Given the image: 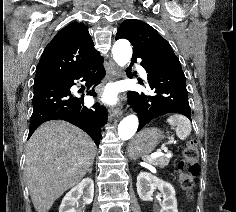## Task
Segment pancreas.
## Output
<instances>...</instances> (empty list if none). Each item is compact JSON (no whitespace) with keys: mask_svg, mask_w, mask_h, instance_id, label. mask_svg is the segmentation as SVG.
<instances>
[{"mask_svg":"<svg viewBox=\"0 0 236 212\" xmlns=\"http://www.w3.org/2000/svg\"><path fill=\"white\" fill-rule=\"evenodd\" d=\"M169 161H170V157H168V156H160V157L154 159L155 165H158L161 168L168 165Z\"/></svg>","mask_w":236,"mask_h":212,"instance_id":"cf45deb5","label":"pancreas"}]
</instances>
